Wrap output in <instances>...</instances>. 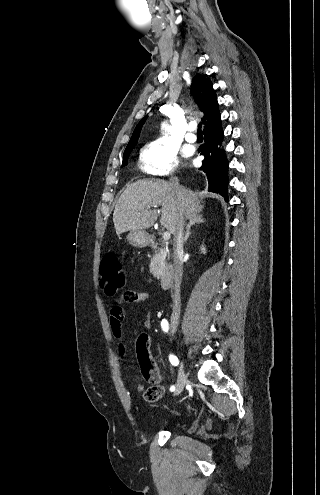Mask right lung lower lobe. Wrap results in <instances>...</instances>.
I'll return each mask as SVG.
<instances>
[{"instance_id":"obj_1","label":"right lung lower lobe","mask_w":320,"mask_h":495,"mask_svg":"<svg viewBox=\"0 0 320 495\" xmlns=\"http://www.w3.org/2000/svg\"><path fill=\"white\" fill-rule=\"evenodd\" d=\"M205 137L204 144L198 152L204 156L202 166L208 179L209 191L219 193L227 200L228 186V160L225 151L221 148L224 138L221 121L203 130Z\"/></svg>"}]
</instances>
